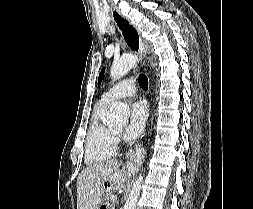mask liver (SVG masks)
Instances as JSON below:
<instances>
[{
    "label": "liver",
    "mask_w": 253,
    "mask_h": 209,
    "mask_svg": "<svg viewBox=\"0 0 253 209\" xmlns=\"http://www.w3.org/2000/svg\"><path fill=\"white\" fill-rule=\"evenodd\" d=\"M116 160L99 162L87 166L77 178V209H98L102 201L104 184L119 190L127 180V172H121Z\"/></svg>",
    "instance_id": "6515ba94"
}]
</instances>
